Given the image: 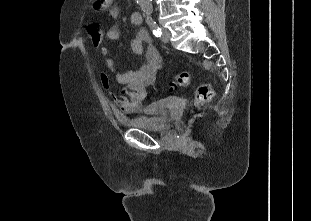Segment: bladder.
<instances>
[{"label": "bladder", "mask_w": 311, "mask_h": 221, "mask_svg": "<svg viewBox=\"0 0 311 221\" xmlns=\"http://www.w3.org/2000/svg\"><path fill=\"white\" fill-rule=\"evenodd\" d=\"M168 107V99L155 100L150 104V108H144L142 114L128 119L126 125L132 129L166 131L172 122Z\"/></svg>", "instance_id": "31cf9c89"}]
</instances>
